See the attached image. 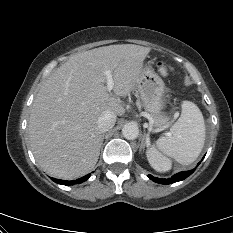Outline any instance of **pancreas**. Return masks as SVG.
I'll return each instance as SVG.
<instances>
[{"label": "pancreas", "instance_id": "cf45deb5", "mask_svg": "<svg viewBox=\"0 0 233 233\" xmlns=\"http://www.w3.org/2000/svg\"><path fill=\"white\" fill-rule=\"evenodd\" d=\"M165 121V118L159 116V117H153L152 124L155 126H159L161 123Z\"/></svg>", "mask_w": 233, "mask_h": 233}]
</instances>
